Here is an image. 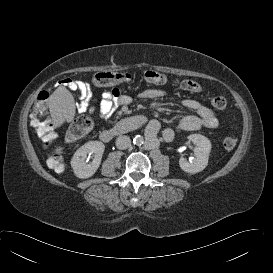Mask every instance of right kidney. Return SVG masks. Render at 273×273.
<instances>
[{
  "label": "right kidney",
  "instance_id": "1",
  "mask_svg": "<svg viewBox=\"0 0 273 273\" xmlns=\"http://www.w3.org/2000/svg\"><path fill=\"white\" fill-rule=\"evenodd\" d=\"M105 150V145L100 141H89L82 145L72 157L71 166L74 174L81 179L91 177L99 168ZM93 160L86 162L87 156Z\"/></svg>",
  "mask_w": 273,
  "mask_h": 273
}]
</instances>
